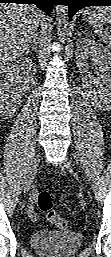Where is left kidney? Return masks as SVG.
Instances as JSON below:
<instances>
[{"instance_id":"5707ae66","label":"left kidney","mask_w":111,"mask_h":257,"mask_svg":"<svg viewBox=\"0 0 111 257\" xmlns=\"http://www.w3.org/2000/svg\"><path fill=\"white\" fill-rule=\"evenodd\" d=\"M76 64L85 77L93 80L91 93L98 107L111 108V52L108 48L94 40L83 39L76 45ZM88 61L100 73L98 77L91 75Z\"/></svg>"}]
</instances>
